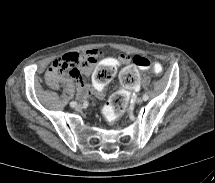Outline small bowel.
I'll use <instances>...</instances> for the list:
<instances>
[{
	"instance_id": "obj_1",
	"label": "small bowel",
	"mask_w": 215,
	"mask_h": 183,
	"mask_svg": "<svg viewBox=\"0 0 215 183\" xmlns=\"http://www.w3.org/2000/svg\"><path fill=\"white\" fill-rule=\"evenodd\" d=\"M101 56L102 52L97 48H90L82 53H67L63 55L54 63L58 61L73 62L75 63L74 71L55 75L51 66L45 74L47 84L53 89H58L60 82L68 83L73 79L76 82L78 95L81 99L88 98L92 93L98 97L104 96L105 85L110 78L123 70L124 64L130 62V57L126 54H122L120 57L112 56L102 60L99 66L96 67ZM90 74L87 85L83 76Z\"/></svg>"
}]
</instances>
